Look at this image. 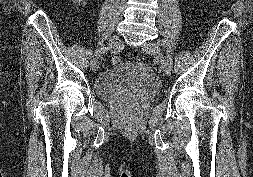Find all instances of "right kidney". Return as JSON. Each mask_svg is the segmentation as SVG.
Wrapping results in <instances>:
<instances>
[{
	"mask_svg": "<svg viewBox=\"0 0 253 177\" xmlns=\"http://www.w3.org/2000/svg\"><path fill=\"white\" fill-rule=\"evenodd\" d=\"M72 1L75 3H80V2H83L84 0H72Z\"/></svg>",
	"mask_w": 253,
	"mask_h": 177,
	"instance_id": "obj_1",
	"label": "right kidney"
}]
</instances>
